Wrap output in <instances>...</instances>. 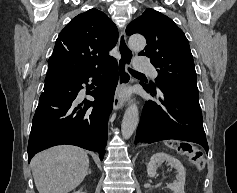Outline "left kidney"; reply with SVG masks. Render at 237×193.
I'll return each mask as SVG.
<instances>
[{"label": "left kidney", "mask_w": 237, "mask_h": 193, "mask_svg": "<svg viewBox=\"0 0 237 193\" xmlns=\"http://www.w3.org/2000/svg\"><path fill=\"white\" fill-rule=\"evenodd\" d=\"M163 162H167L168 165L175 168L178 173L176 176V181L168 185L170 190H172L173 193H185L184 185L186 172L182 163L175 157H172L164 152L154 154L147 165L148 176L155 177L158 165L162 164Z\"/></svg>", "instance_id": "1"}]
</instances>
